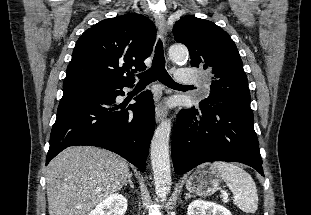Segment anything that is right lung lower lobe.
Here are the masks:
<instances>
[{
    "label": "right lung lower lobe",
    "mask_w": 311,
    "mask_h": 215,
    "mask_svg": "<svg viewBox=\"0 0 311 215\" xmlns=\"http://www.w3.org/2000/svg\"><path fill=\"white\" fill-rule=\"evenodd\" d=\"M131 86L97 82L88 90L64 92L46 165L69 146L90 145L115 152L144 172L155 128V108L150 92L141 93L125 110L116 106L115 98L124 95L122 88Z\"/></svg>",
    "instance_id": "right-lung-lower-lobe-1"
}]
</instances>
